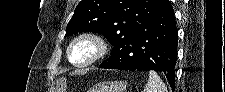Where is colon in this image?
<instances>
[{"label": "colon", "mask_w": 225, "mask_h": 92, "mask_svg": "<svg viewBox=\"0 0 225 92\" xmlns=\"http://www.w3.org/2000/svg\"><path fill=\"white\" fill-rule=\"evenodd\" d=\"M56 92H66V80L65 78H61L58 82H57V86H56Z\"/></svg>", "instance_id": "5ec220e1"}]
</instances>
